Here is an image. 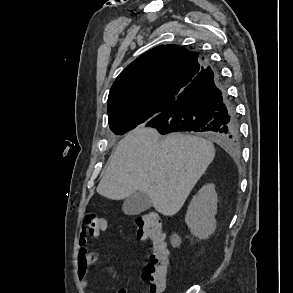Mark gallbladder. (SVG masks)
<instances>
[{"mask_svg": "<svg viewBox=\"0 0 293 293\" xmlns=\"http://www.w3.org/2000/svg\"><path fill=\"white\" fill-rule=\"evenodd\" d=\"M152 206L150 197L144 192H135L124 200L122 210L128 215H138Z\"/></svg>", "mask_w": 293, "mask_h": 293, "instance_id": "bac80fb5", "label": "gallbladder"}]
</instances>
